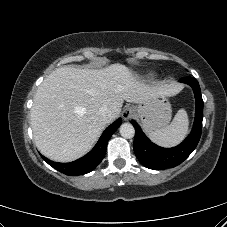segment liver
<instances>
[{"label":"liver","mask_w":227,"mask_h":227,"mask_svg":"<svg viewBox=\"0 0 227 227\" xmlns=\"http://www.w3.org/2000/svg\"><path fill=\"white\" fill-rule=\"evenodd\" d=\"M174 84L149 86L128 67L115 63L101 69L57 68L38 87L31 109V127L40 152L58 162L86 154L106 124L115 120L124 100L142 104L155 96H171ZM107 106L108 121L99 109Z\"/></svg>","instance_id":"1"}]
</instances>
